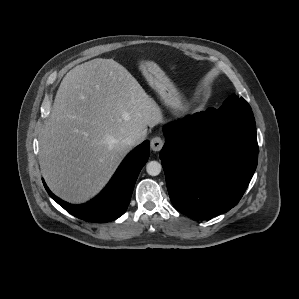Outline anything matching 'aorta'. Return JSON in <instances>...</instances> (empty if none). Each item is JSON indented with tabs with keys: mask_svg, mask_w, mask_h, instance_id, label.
I'll return each instance as SVG.
<instances>
[{
	"mask_svg": "<svg viewBox=\"0 0 299 299\" xmlns=\"http://www.w3.org/2000/svg\"><path fill=\"white\" fill-rule=\"evenodd\" d=\"M161 169H162V166L157 161H150L149 163H147V166H146V171L151 176L159 175L161 172Z\"/></svg>",
	"mask_w": 299,
	"mask_h": 299,
	"instance_id": "obj_1",
	"label": "aorta"
}]
</instances>
